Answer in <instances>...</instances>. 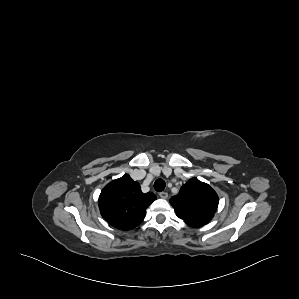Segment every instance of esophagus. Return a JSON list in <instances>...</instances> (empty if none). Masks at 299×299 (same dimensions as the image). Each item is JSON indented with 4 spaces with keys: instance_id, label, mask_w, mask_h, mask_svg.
Here are the masks:
<instances>
[{
    "instance_id": "esophagus-1",
    "label": "esophagus",
    "mask_w": 299,
    "mask_h": 299,
    "mask_svg": "<svg viewBox=\"0 0 299 299\" xmlns=\"http://www.w3.org/2000/svg\"><path fill=\"white\" fill-rule=\"evenodd\" d=\"M159 196H160V198H162V199H167V198H168V193H167V192H161V193L159 194Z\"/></svg>"
}]
</instances>
